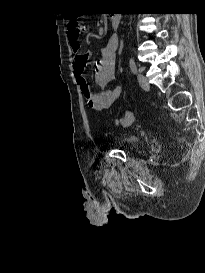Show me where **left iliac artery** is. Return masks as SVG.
I'll use <instances>...</instances> for the list:
<instances>
[{
	"instance_id": "left-iliac-artery-1",
	"label": "left iliac artery",
	"mask_w": 205,
	"mask_h": 273,
	"mask_svg": "<svg viewBox=\"0 0 205 273\" xmlns=\"http://www.w3.org/2000/svg\"><path fill=\"white\" fill-rule=\"evenodd\" d=\"M129 65H130V68H131V71L136 74L137 73V65L134 61L133 58H130V61H129Z\"/></svg>"
}]
</instances>
